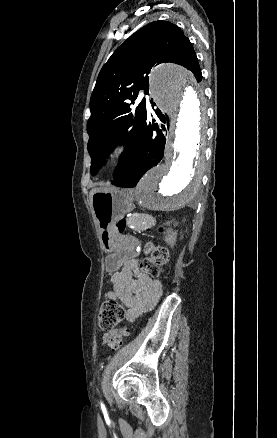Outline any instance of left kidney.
I'll return each instance as SVG.
<instances>
[{
    "mask_svg": "<svg viewBox=\"0 0 277 438\" xmlns=\"http://www.w3.org/2000/svg\"><path fill=\"white\" fill-rule=\"evenodd\" d=\"M167 224H170V222H167ZM175 240H176L175 232H170V236H165L164 242H166L168 246H171V248H173Z\"/></svg>",
    "mask_w": 277,
    "mask_h": 438,
    "instance_id": "1",
    "label": "left kidney"
}]
</instances>
